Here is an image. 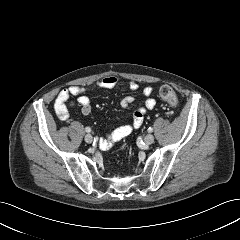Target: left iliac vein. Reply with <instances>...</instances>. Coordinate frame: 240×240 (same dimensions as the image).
Segmentation results:
<instances>
[{
  "label": "left iliac vein",
  "instance_id": "4c4485c4",
  "mask_svg": "<svg viewBox=\"0 0 240 240\" xmlns=\"http://www.w3.org/2000/svg\"><path fill=\"white\" fill-rule=\"evenodd\" d=\"M144 142L147 144V145H151L153 142H154V136L151 135V134H148L144 137Z\"/></svg>",
  "mask_w": 240,
  "mask_h": 240
}]
</instances>
